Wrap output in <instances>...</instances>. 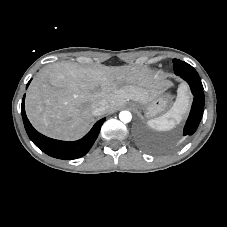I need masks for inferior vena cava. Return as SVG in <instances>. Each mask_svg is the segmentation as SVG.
Returning <instances> with one entry per match:
<instances>
[{
  "label": "inferior vena cava",
  "instance_id": "602c4592",
  "mask_svg": "<svg viewBox=\"0 0 227 227\" xmlns=\"http://www.w3.org/2000/svg\"><path fill=\"white\" fill-rule=\"evenodd\" d=\"M108 109V104L106 101H99L95 103L92 107V114L94 116H99L105 114Z\"/></svg>",
  "mask_w": 227,
  "mask_h": 227
}]
</instances>
